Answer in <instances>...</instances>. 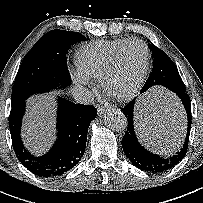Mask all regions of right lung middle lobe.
Here are the masks:
<instances>
[{
  "instance_id": "obj_1",
  "label": "right lung middle lobe",
  "mask_w": 203,
  "mask_h": 203,
  "mask_svg": "<svg viewBox=\"0 0 203 203\" xmlns=\"http://www.w3.org/2000/svg\"><path fill=\"white\" fill-rule=\"evenodd\" d=\"M85 40L78 32L64 30H52L41 37L18 70L12 91V107L32 94L70 85L66 53L73 44Z\"/></svg>"
}]
</instances>
